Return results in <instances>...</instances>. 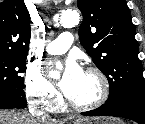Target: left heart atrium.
<instances>
[{"instance_id":"left-heart-atrium-1","label":"left heart atrium","mask_w":145,"mask_h":124,"mask_svg":"<svg viewBox=\"0 0 145 124\" xmlns=\"http://www.w3.org/2000/svg\"><path fill=\"white\" fill-rule=\"evenodd\" d=\"M82 75L83 71L80 66L75 60L70 59L66 64L65 71L59 83L60 88L67 97L73 93Z\"/></svg>"}]
</instances>
